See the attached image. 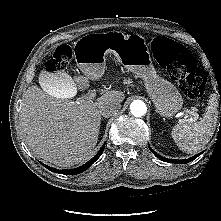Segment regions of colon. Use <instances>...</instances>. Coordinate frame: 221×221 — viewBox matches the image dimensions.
Here are the masks:
<instances>
[{"instance_id": "colon-1", "label": "colon", "mask_w": 221, "mask_h": 221, "mask_svg": "<svg viewBox=\"0 0 221 221\" xmlns=\"http://www.w3.org/2000/svg\"><path fill=\"white\" fill-rule=\"evenodd\" d=\"M154 56L161 67L176 80L183 93L190 99H198L205 92L207 75L198 67L192 53L165 37L157 36L149 39ZM73 51L68 45H60L47 62L46 69L65 71L72 63Z\"/></svg>"}]
</instances>
